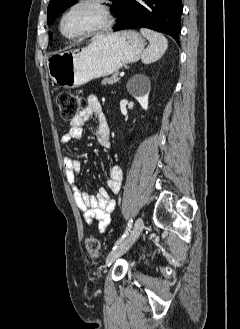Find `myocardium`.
<instances>
[{"instance_id":"f54148a6","label":"myocardium","mask_w":240,"mask_h":329,"mask_svg":"<svg viewBox=\"0 0 240 329\" xmlns=\"http://www.w3.org/2000/svg\"><path fill=\"white\" fill-rule=\"evenodd\" d=\"M82 5H92L97 7L102 15V21L84 31L75 34H66L63 30V22L65 18L77 7ZM114 22L113 11L108 0H75L61 13L58 20V31L62 37L68 40H78L81 38L88 37L90 35L105 31L109 29Z\"/></svg>"}]
</instances>
